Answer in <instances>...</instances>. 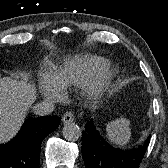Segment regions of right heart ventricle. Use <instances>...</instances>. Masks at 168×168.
I'll list each match as a JSON object with an SVG mask.
<instances>
[{
  "label": "right heart ventricle",
  "mask_w": 168,
  "mask_h": 168,
  "mask_svg": "<svg viewBox=\"0 0 168 168\" xmlns=\"http://www.w3.org/2000/svg\"><path fill=\"white\" fill-rule=\"evenodd\" d=\"M107 61L99 56L83 54L73 57L54 71L51 80L60 89L84 87L106 67Z\"/></svg>",
  "instance_id": "e07e8e85"
}]
</instances>
